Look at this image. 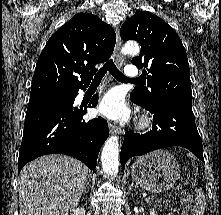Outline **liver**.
<instances>
[{
  "label": "liver",
  "mask_w": 221,
  "mask_h": 215,
  "mask_svg": "<svg viewBox=\"0 0 221 215\" xmlns=\"http://www.w3.org/2000/svg\"><path fill=\"white\" fill-rule=\"evenodd\" d=\"M88 177V168L66 155L31 161L20 172V215H67L77 207Z\"/></svg>",
  "instance_id": "obj_1"
}]
</instances>
